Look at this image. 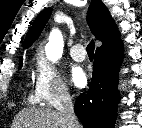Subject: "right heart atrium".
Returning <instances> with one entry per match:
<instances>
[{
  "mask_svg": "<svg viewBox=\"0 0 142 128\" xmlns=\"http://www.w3.org/2000/svg\"><path fill=\"white\" fill-rule=\"evenodd\" d=\"M35 95L46 105H55L70 98L69 87L59 70L39 56L35 67Z\"/></svg>",
  "mask_w": 142,
  "mask_h": 128,
  "instance_id": "d8ad5b80",
  "label": "right heart atrium"
}]
</instances>
